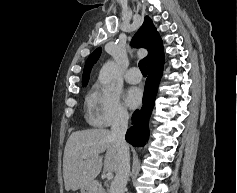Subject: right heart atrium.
I'll return each mask as SVG.
<instances>
[{"instance_id":"obj_1","label":"right heart atrium","mask_w":237,"mask_h":193,"mask_svg":"<svg viewBox=\"0 0 237 193\" xmlns=\"http://www.w3.org/2000/svg\"><path fill=\"white\" fill-rule=\"evenodd\" d=\"M88 109L90 120L101 127L124 124L129 119L119 92L101 84L93 87L88 97Z\"/></svg>"}]
</instances>
